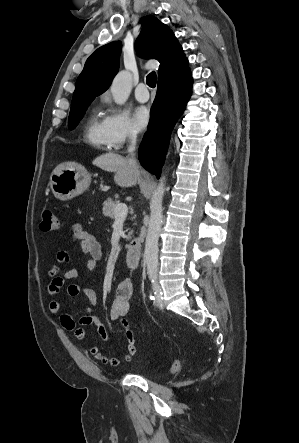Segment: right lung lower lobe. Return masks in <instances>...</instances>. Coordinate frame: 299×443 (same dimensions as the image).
Wrapping results in <instances>:
<instances>
[{
	"label": "right lung lower lobe",
	"instance_id": "right-lung-lower-lobe-1",
	"mask_svg": "<svg viewBox=\"0 0 299 443\" xmlns=\"http://www.w3.org/2000/svg\"><path fill=\"white\" fill-rule=\"evenodd\" d=\"M191 88L192 77L189 70L180 76L158 80L148 131L138 152L141 165L157 178L161 174L172 128L185 109Z\"/></svg>",
	"mask_w": 299,
	"mask_h": 443
}]
</instances>
